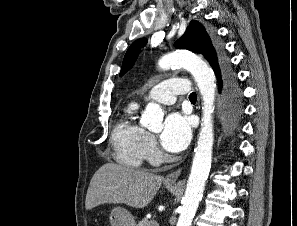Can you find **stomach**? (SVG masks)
I'll return each instance as SVG.
<instances>
[{"label":"stomach","instance_id":"1","mask_svg":"<svg viewBox=\"0 0 297 226\" xmlns=\"http://www.w3.org/2000/svg\"><path fill=\"white\" fill-rule=\"evenodd\" d=\"M111 226H135L132 214L122 207H116L110 214Z\"/></svg>","mask_w":297,"mask_h":226}]
</instances>
